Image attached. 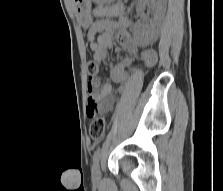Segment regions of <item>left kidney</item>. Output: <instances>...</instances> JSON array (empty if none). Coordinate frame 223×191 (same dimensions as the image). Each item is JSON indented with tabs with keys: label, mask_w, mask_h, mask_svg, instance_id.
<instances>
[{
	"label": "left kidney",
	"mask_w": 223,
	"mask_h": 191,
	"mask_svg": "<svg viewBox=\"0 0 223 191\" xmlns=\"http://www.w3.org/2000/svg\"><path fill=\"white\" fill-rule=\"evenodd\" d=\"M165 0H140L137 5L138 10H142L145 7L151 8L153 12V21L146 29H141L139 26L135 27V36L144 43H150L154 41L160 30L161 22L164 16Z\"/></svg>",
	"instance_id": "left-kidney-1"
}]
</instances>
